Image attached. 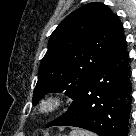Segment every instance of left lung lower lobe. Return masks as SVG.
<instances>
[{
  "mask_svg": "<svg viewBox=\"0 0 136 136\" xmlns=\"http://www.w3.org/2000/svg\"><path fill=\"white\" fill-rule=\"evenodd\" d=\"M126 46L120 28L102 64L84 83L69 110L46 127L75 126L99 136H127L131 82Z\"/></svg>",
  "mask_w": 136,
  "mask_h": 136,
  "instance_id": "0a47b994",
  "label": "left lung lower lobe"
}]
</instances>
